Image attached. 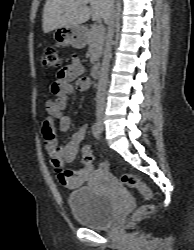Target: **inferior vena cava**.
I'll use <instances>...</instances> for the list:
<instances>
[{"label":"inferior vena cava","mask_w":194,"mask_h":250,"mask_svg":"<svg viewBox=\"0 0 194 250\" xmlns=\"http://www.w3.org/2000/svg\"><path fill=\"white\" fill-rule=\"evenodd\" d=\"M106 24L108 26V31L106 35L104 56L100 68L97 96H96V113L98 120H102L105 111V94L107 89L109 63L111 59V45L116 26V10L114 1L110 9L109 16L106 20Z\"/></svg>","instance_id":"obj_1"}]
</instances>
